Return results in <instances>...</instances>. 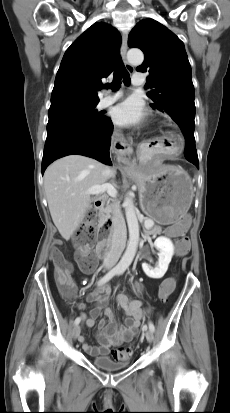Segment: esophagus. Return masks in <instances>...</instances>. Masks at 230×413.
Here are the masks:
<instances>
[{
	"instance_id": "obj_1",
	"label": "esophagus",
	"mask_w": 230,
	"mask_h": 413,
	"mask_svg": "<svg viewBox=\"0 0 230 413\" xmlns=\"http://www.w3.org/2000/svg\"><path fill=\"white\" fill-rule=\"evenodd\" d=\"M127 41H128V35H127V33H123V35H122V45H121V57H122V60L125 64V67H126L127 71L129 73H133L134 72V67L131 64H129V62L126 59L127 48H128ZM117 149L119 150L120 155H123L124 153L129 152L130 145L126 142H121L120 146H118Z\"/></svg>"
}]
</instances>
